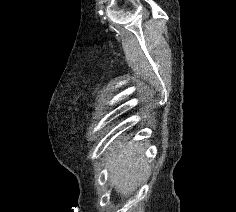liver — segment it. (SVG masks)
<instances>
[{"mask_svg":"<svg viewBox=\"0 0 236 212\" xmlns=\"http://www.w3.org/2000/svg\"><path fill=\"white\" fill-rule=\"evenodd\" d=\"M109 147L106 162L112 186L122 197L133 194L148 174L142 145L126 141L124 145Z\"/></svg>","mask_w":236,"mask_h":212,"instance_id":"1","label":"liver"}]
</instances>
